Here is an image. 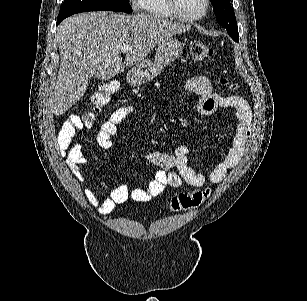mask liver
<instances>
[{
    "label": "liver",
    "mask_w": 307,
    "mask_h": 301,
    "mask_svg": "<svg viewBox=\"0 0 307 301\" xmlns=\"http://www.w3.org/2000/svg\"><path fill=\"white\" fill-rule=\"evenodd\" d=\"M191 30L170 18L152 14L79 12L65 18L56 30L61 56L52 98L54 114H63L85 94L91 76L107 80L134 66L156 44ZM122 46H129L122 60Z\"/></svg>",
    "instance_id": "6515ba94"
}]
</instances>
